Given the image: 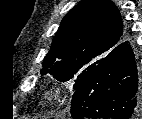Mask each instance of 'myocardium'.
Here are the masks:
<instances>
[{"label": "myocardium", "instance_id": "1", "mask_svg": "<svg viewBox=\"0 0 142 119\" xmlns=\"http://www.w3.org/2000/svg\"><path fill=\"white\" fill-rule=\"evenodd\" d=\"M61 99V92L59 89L51 90L47 95V101L50 104H55Z\"/></svg>", "mask_w": 142, "mask_h": 119}]
</instances>
